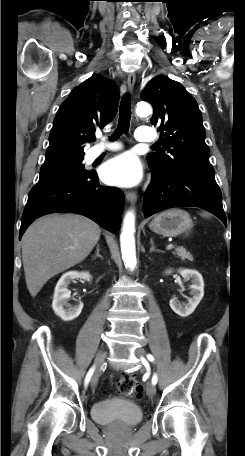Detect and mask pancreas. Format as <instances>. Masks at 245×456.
Returning a JSON list of instances; mask_svg holds the SVG:
<instances>
[{
  "label": "pancreas",
  "mask_w": 245,
  "mask_h": 456,
  "mask_svg": "<svg viewBox=\"0 0 245 456\" xmlns=\"http://www.w3.org/2000/svg\"><path fill=\"white\" fill-rule=\"evenodd\" d=\"M174 254L181 258L182 261H185L186 259L190 261L193 260V256L183 247L176 248Z\"/></svg>",
  "instance_id": "1"
}]
</instances>
